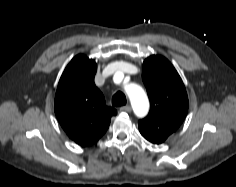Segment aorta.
<instances>
[{
	"label": "aorta",
	"instance_id": "aorta-1",
	"mask_svg": "<svg viewBox=\"0 0 236 187\" xmlns=\"http://www.w3.org/2000/svg\"><path fill=\"white\" fill-rule=\"evenodd\" d=\"M126 92L135 113L138 116L145 115L148 110V99L144 90L136 84H131L126 87Z\"/></svg>",
	"mask_w": 236,
	"mask_h": 187
}]
</instances>
